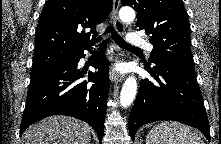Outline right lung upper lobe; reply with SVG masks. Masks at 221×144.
<instances>
[{"label":"right lung upper lobe","instance_id":"obj_1","mask_svg":"<svg viewBox=\"0 0 221 144\" xmlns=\"http://www.w3.org/2000/svg\"><path fill=\"white\" fill-rule=\"evenodd\" d=\"M111 6L112 0H48L38 24L34 54H75L92 46L96 25L106 20Z\"/></svg>","mask_w":221,"mask_h":144}]
</instances>
